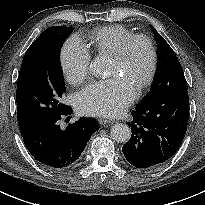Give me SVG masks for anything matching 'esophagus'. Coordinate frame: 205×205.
Here are the masks:
<instances>
[{
    "label": "esophagus",
    "instance_id": "34e87169",
    "mask_svg": "<svg viewBox=\"0 0 205 205\" xmlns=\"http://www.w3.org/2000/svg\"><path fill=\"white\" fill-rule=\"evenodd\" d=\"M98 123H99L100 125L105 126L106 124H111L112 122L109 121V120L103 119V118H98Z\"/></svg>",
    "mask_w": 205,
    "mask_h": 205
}]
</instances>
